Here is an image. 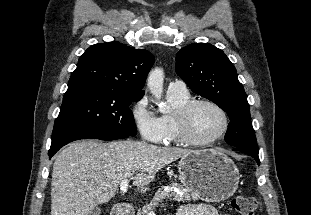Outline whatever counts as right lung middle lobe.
Returning <instances> with one entry per match:
<instances>
[{
    "instance_id": "1",
    "label": "right lung middle lobe",
    "mask_w": 311,
    "mask_h": 215,
    "mask_svg": "<svg viewBox=\"0 0 311 215\" xmlns=\"http://www.w3.org/2000/svg\"><path fill=\"white\" fill-rule=\"evenodd\" d=\"M143 94L90 85L68 87L56 118L52 140L81 133L137 134L129 106Z\"/></svg>"
}]
</instances>
